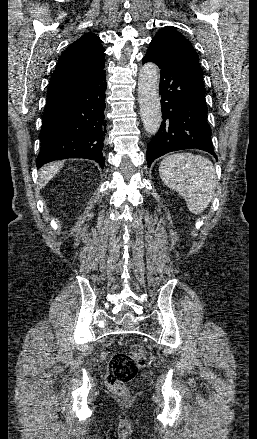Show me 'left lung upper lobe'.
<instances>
[{
    "mask_svg": "<svg viewBox=\"0 0 257 439\" xmlns=\"http://www.w3.org/2000/svg\"><path fill=\"white\" fill-rule=\"evenodd\" d=\"M151 43L157 44L161 50L186 65L194 75L203 81V71L199 57L192 44L181 33L170 27L157 32Z\"/></svg>",
    "mask_w": 257,
    "mask_h": 439,
    "instance_id": "obj_1",
    "label": "left lung upper lobe"
}]
</instances>
